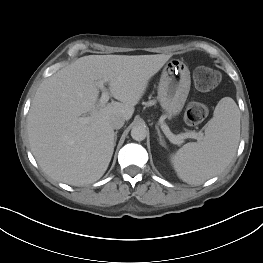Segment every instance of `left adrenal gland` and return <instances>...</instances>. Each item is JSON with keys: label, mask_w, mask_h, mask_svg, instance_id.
<instances>
[{"label": "left adrenal gland", "mask_w": 263, "mask_h": 263, "mask_svg": "<svg viewBox=\"0 0 263 263\" xmlns=\"http://www.w3.org/2000/svg\"><path fill=\"white\" fill-rule=\"evenodd\" d=\"M156 130H157V133L159 136V143H160V145L164 146V140L162 139V135H161V132H160V129L158 128V126H156Z\"/></svg>", "instance_id": "a2214340"}]
</instances>
